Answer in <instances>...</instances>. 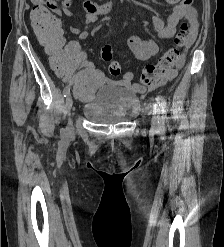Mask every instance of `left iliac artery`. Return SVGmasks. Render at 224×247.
I'll use <instances>...</instances> for the list:
<instances>
[{"label": "left iliac artery", "instance_id": "left-iliac-artery-1", "mask_svg": "<svg viewBox=\"0 0 224 247\" xmlns=\"http://www.w3.org/2000/svg\"><path fill=\"white\" fill-rule=\"evenodd\" d=\"M156 100L159 105V130L163 132L165 129L164 127L165 119L167 118L166 117V102L164 98L161 96H157Z\"/></svg>", "mask_w": 224, "mask_h": 247}]
</instances>
